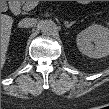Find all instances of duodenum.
Masks as SVG:
<instances>
[{
	"label": "duodenum",
	"instance_id": "1",
	"mask_svg": "<svg viewBox=\"0 0 109 109\" xmlns=\"http://www.w3.org/2000/svg\"><path fill=\"white\" fill-rule=\"evenodd\" d=\"M11 8H12V9H16L17 6H16V5H11Z\"/></svg>",
	"mask_w": 109,
	"mask_h": 109
}]
</instances>
